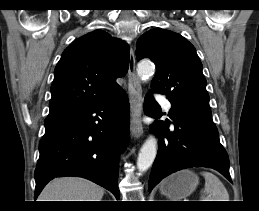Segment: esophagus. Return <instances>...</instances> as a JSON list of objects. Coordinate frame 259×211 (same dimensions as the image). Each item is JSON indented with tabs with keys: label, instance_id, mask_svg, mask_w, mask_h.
Segmentation results:
<instances>
[{
	"label": "esophagus",
	"instance_id": "1",
	"mask_svg": "<svg viewBox=\"0 0 259 211\" xmlns=\"http://www.w3.org/2000/svg\"><path fill=\"white\" fill-rule=\"evenodd\" d=\"M128 91L131 108L130 133L133 138H140L143 134L142 124V88L135 69V54L133 48L130 49L128 68Z\"/></svg>",
	"mask_w": 259,
	"mask_h": 211
}]
</instances>
